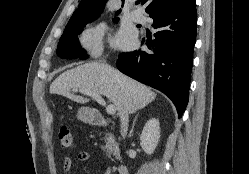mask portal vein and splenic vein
I'll list each match as a JSON object with an SVG mask.
<instances>
[{
    "instance_id": "18ae733b",
    "label": "portal vein and splenic vein",
    "mask_w": 249,
    "mask_h": 174,
    "mask_svg": "<svg viewBox=\"0 0 249 174\" xmlns=\"http://www.w3.org/2000/svg\"><path fill=\"white\" fill-rule=\"evenodd\" d=\"M81 93L94 98L100 105L106 106V102L104 101V99L101 97L100 94L96 93L95 91L83 90L81 91ZM106 111L108 114L114 115L116 113V108L113 104H109L106 106Z\"/></svg>"
}]
</instances>
